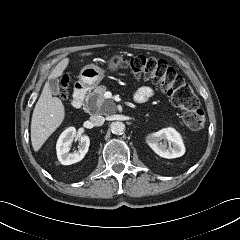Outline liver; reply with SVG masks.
Listing matches in <instances>:
<instances>
[{
  "mask_svg": "<svg viewBox=\"0 0 240 240\" xmlns=\"http://www.w3.org/2000/svg\"><path fill=\"white\" fill-rule=\"evenodd\" d=\"M91 53L82 54V56ZM69 64V58L61 60L52 70L48 79L60 77ZM65 118L64 105L60 99L52 97L49 83L46 82L35 105L31 120V142L35 152L39 151L51 134Z\"/></svg>",
  "mask_w": 240,
  "mask_h": 240,
  "instance_id": "1",
  "label": "liver"
}]
</instances>
